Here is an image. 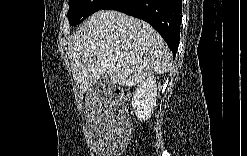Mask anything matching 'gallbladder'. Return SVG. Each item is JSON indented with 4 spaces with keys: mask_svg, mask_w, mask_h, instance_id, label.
<instances>
[{
    "mask_svg": "<svg viewBox=\"0 0 247 156\" xmlns=\"http://www.w3.org/2000/svg\"><path fill=\"white\" fill-rule=\"evenodd\" d=\"M100 84L103 85V86H107L108 88L113 86L110 78L108 76H106V75L101 77Z\"/></svg>",
    "mask_w": 247,
    "mask_h": 156,
    "instance_id": "1",
    "label": "gallbladder"
}]
</instances>
